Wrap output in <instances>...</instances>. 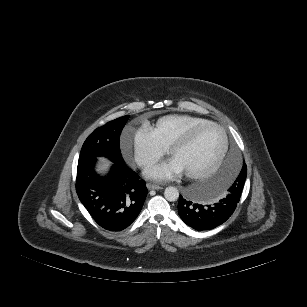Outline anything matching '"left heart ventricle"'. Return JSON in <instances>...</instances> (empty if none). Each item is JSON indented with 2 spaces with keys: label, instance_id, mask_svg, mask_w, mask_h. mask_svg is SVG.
<instances>
[{
  "label": "left heart ventricle",
  "instance_id": "left-heart-ventricle-1",
  "mask_svg": "<svg viewBox=\"0 0 307 307\" xmlns=\"http://www.w3.org/2000/svg\"><path fill=\"white\" fill-rule=\"evenodd\" d=\"M223 144L220 131L212 126L199 131L185 147L177 150L174 159L186 172H198L209 168L219 155Z\"/></svg>",
  "mask_w": 307,
  "mask_h": 307
}]
</instances>
